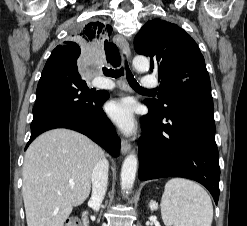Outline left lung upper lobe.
<instances>
[{
	"instance_id": "5c2ea615",
	"label": "left lung upper lobe",
	"mask_w": 247,
	"mask_h": 226,
	"mask_svg": "<svg viewBox=\"0 0 247 226\" xmlns=\"http://www.w3.org/2000/svg\"><path fill=\"white\" fill-rule=\"evenodd\" d=\"M134 47L138 54L150 58V70L159 75V100L145 101L157 110H163L167 97L178 90L189 87L211 89L199 47L176 24L160 19L148 21L136 35Z\"/></svg>"
}]
</instances>
